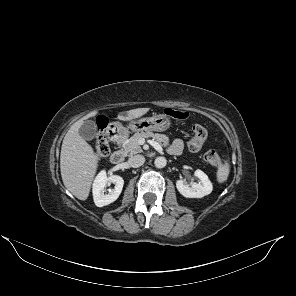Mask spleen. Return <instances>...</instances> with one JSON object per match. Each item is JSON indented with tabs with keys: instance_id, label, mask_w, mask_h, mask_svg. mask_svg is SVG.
Segmentation results:
<instances>
[{
	"instance_id": "3e777b00",
	"label": "spleen",
	"mask_w": 296,
	"mask_h": 296,
	"mask_svg": "<svg viewBox=\"0 0 296 296\" xmlns=\"http://www.w3.org/2000/svg\"><path fill=\"white\" fill-rule=\"evenodd\" d=\"M229 172H230V166L229 163L227 161L224 162V164H221L218 167L217 173H216V178L217 181L219 183H224L228 176H229Z\"/></svg>"
}]
</instances>
